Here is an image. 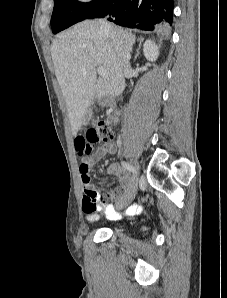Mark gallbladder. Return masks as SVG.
Masks as SVG:
<instances>
[{"mask_svg": "<svg viewBox=\"0 0 227 298\" xmlns=\"http://www.w3.org/2000/svg\"><path fill=\"white\" fill-rule=\"evenodd\" d=\"M91 115H92L91 110L87 111V113H86L85 116H84V122H83L84 125H86V124L88 123V121H89L90 118H91Z\"/></svg>", "mask_w": 227, "mask_h": 298, "instance_id": "gallbladder-1", "label": "gallbladder"}]
</instances>
